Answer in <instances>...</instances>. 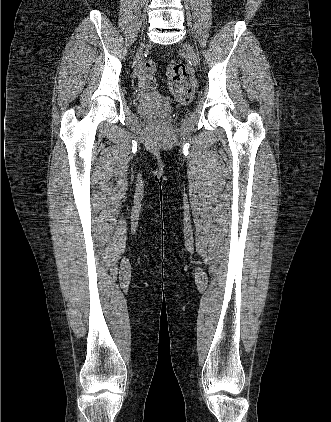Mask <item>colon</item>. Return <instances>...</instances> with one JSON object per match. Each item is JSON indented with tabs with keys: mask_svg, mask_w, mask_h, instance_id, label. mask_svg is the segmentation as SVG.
<instances>
[{
	"mask_svg": "<svg viewBox=\"0 0 331 422\" xmlns=\"http://www.w3.org/2000/svg\"><path fill=\"white\" fill-rule=\"evenodd\" d=\"M155 74V64L152 61H146L140 70V75L146 80H153ZM170 91L185 104L192 98V87L187 77L188 71L184 63L172 60L167 67Z\"/></svg>",
	"mask_w": 331,
	"mask_h": 422,
	"instance_id": "5ec220e1",
	"label": "colon"
}]
</instances>
